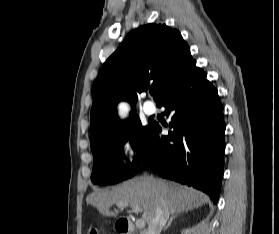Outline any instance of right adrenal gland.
<instances>
[{
	"label": "right adrenal gland",
	"instance_id": "right-adrenal-gland-1",
	"mask_svg": "<svg viewBox=\"0 0 279 234\" xmlns=\"http://www.w3.org/2000/svg\"><path fill=\"white\" fill-rule=\"evenodd\" d=\"M177 217V214L172 215L167 223V225H165V227L163 228V231H166L172 224V221Z\"/></svg>",
	"mask_w": 279,
	"mask_h": 234
}]
</instances>
